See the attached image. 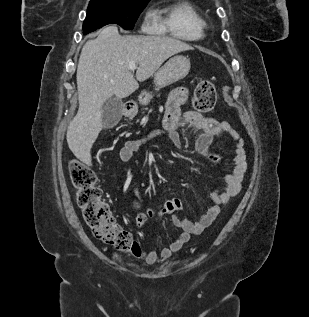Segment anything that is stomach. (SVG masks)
Listing matches in <instances>:
<instances>
[{
  "label": "stomach",
  "instance_id": "stomach-1",
  "mask_svg": "<svg viewBox=\"0 0 309 317\" xmlns=\"http://www.w3.org/2000/svg\"><path fill=\"white\" fill-rule=\"evenodd\" d=\"M190 70V59L183 55H176L169 59L154 76L155 90L167 87L177 81L182 80L187 76ZM152 99V94L143 91L139 96V102L142 105H148ZM127 116L133 118L137 114V107L130 110Z\"/></svg>",
  "mask_w": 309,
  "mask_h": 317
}]
</instances>
